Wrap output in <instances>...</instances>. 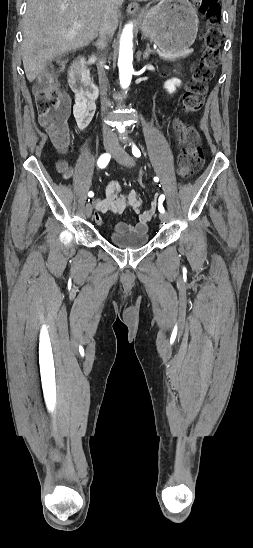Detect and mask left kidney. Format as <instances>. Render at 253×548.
<instances>
[{
	"instance_id": "1",
	"label": "left kidney",
	"mask_w": 253,
	"mask_h": 548,
	"mask_svg": "<svg viewBox=\"0 0 253 548\" xmlns=\"http://www.w3.org/2000/svg\"><path fill=\"white\" fill-rule=\"evenodd\" d=\"M181 85V81L177 78H172L164 83V88L170 93H174L176 90V87Z\"/></svg>"
}]
</instances>
